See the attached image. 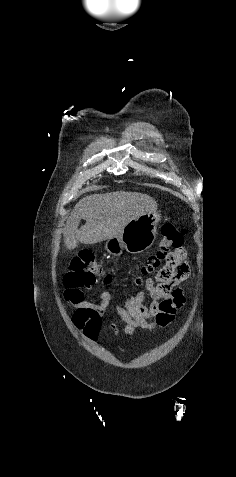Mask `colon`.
<instances>
[{"label": "colon", "instance_id": "colon-1", "mask_svg": "<svg viewBox=\"0 0 236 477\" xmlns=\"http://www.w3.org/2000/svg\"><path fill=\"white\" fill-rule=\"evenodd\" d=\"M162 240L156 254L150 256L140 267L142 276L156 272L158 285L165 292H170L172 283L183 275L185 249L183 239L185 231L176 224L168 222L161 228ZM98 281L109 284L112 277L97 261L96 255L90 250H82L72 261L71 268L64 276L66 292L73 301H81L84 292L93 287ZM135 285L142 283L141 278L134 281Z\"/></svg>", "mask_w": 236, "mask_h": 477}]
</instances>
